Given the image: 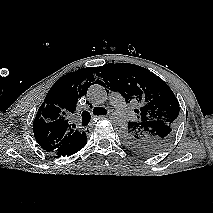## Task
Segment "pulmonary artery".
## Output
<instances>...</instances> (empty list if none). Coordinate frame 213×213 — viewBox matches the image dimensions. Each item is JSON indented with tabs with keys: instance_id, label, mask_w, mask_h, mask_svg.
I'll use <instances>...</instances> for the list:
<instances>
[{
	"instance_id": "obj_1",
	"label": "pulmonary artery",
	"mask_w": 213,
	"mask_h": 213,
	"mask_svg": "<svg viewBox=\"0 0 213 213\" xmlns=\"http://www.w3.org/2000/svg\"><path fill=\"white\" fill-rule=\"evenodd\" d=\"M109 101L110 103L118 110V112L125 116L130 117L132 116V112L130 111L128 105L123 100L122 96L118 92H111L109 94Z\"/></svg>"
}]
</instances>
